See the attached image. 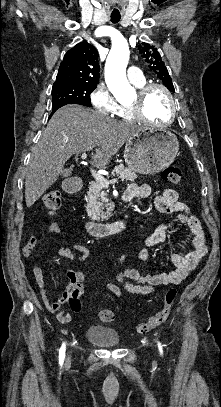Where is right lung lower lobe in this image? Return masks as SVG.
Instances as JSON below:
<instances>
[{
  "mask_svg": "<svg viewBox=\"0 0 221 407\" xmlns=\"http://www.w3.org/2000/svg\"><path fill=\"white\" fill-rule=\"evenodd\" d=\"M62 107V106H61ZM60 107H57V108H54L53 109V111H52V113H51V115H53V113L57 110V109H59ZM51 115H50V117H51Z\"/></svg>",
  "mask_w": 221,
  "mask_h": 407,
  "instance_id": "obj_1",
  "label": "right lung lower lobe"
}]
</instances>
